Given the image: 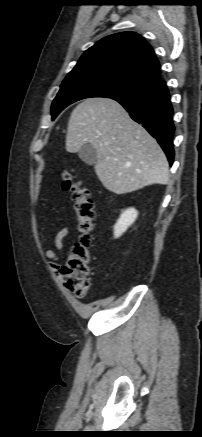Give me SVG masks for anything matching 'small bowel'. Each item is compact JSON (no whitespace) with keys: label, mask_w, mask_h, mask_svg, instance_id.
<instances>
[{"label":"small bowel","mask_w":202,"mask_h":437,"mask_svg":"<svg viewBox=\"0 0 202 437\" xmlns=\"http://www.w3.org/2000/svg\"><path fill=\"white\" fill-rule=\"evenodd\" d=\"M70 230L68 227H63L56 232L54 238L55 250H46L45 257L48 259L49 267L55 273L60 272V257L59 253L62 252L64 247V239L68 236Z\"/></svg>","instance_id":"obj_1"}]
</instances>
